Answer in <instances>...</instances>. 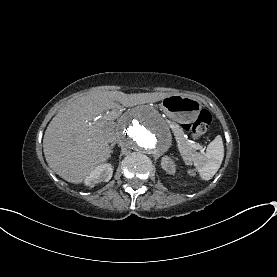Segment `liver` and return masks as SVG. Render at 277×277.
I'll return each mask as SVG.
<instances>
[{"instance_id": "6515ba94", "label": "liver", "mask_w": 277, "mask_h": 277, "mask_svg": "<svg viewBox=\"0 0 277 277\" xmlns=\"http://www.w3.org/2000/svg\"><path fill=\"white\" fill-rule=\"evenodd\" d=\"M168 93L121 91L87 92L61 109L50 121L43 138V152L49 167L62 179L82 184L112 153L111 143L121 138L111 115L97 116L108 109L156 103ZM120 119L118 127L122 123Z\"/></svg>"}]
</instances>
